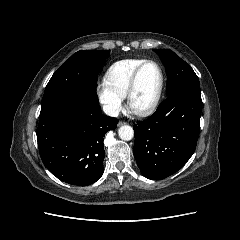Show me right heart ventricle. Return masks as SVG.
<instances>
[{
  "label": "right heart ventricle",
  "mask_w": 240,
  "mask_h": 240,
  "mask_svg": "<svg viewBox=\"0 0 240 240\" xmlns=\"http://www.w3.org/2000/svg\"><path fill=\"white\" fill-rule=\"evenodd\" d=\"M144 59H124L113 63L106 71L105 84L121 98L126 97L130 78Z\"/></svg>",
  "instance_id": "right-heart-ventricle-1"
}]
</instances>
